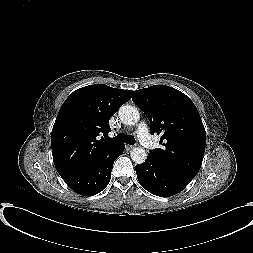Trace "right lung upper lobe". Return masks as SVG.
Masks as SVG:
<instances>
[{
  "label": "right lung upper lobe",
  "instance_id": "obj_1",
  "mask_svg": "<svg viewBox=\"0 0 253 253\" xmlns=\"http://www.w3.org/2000/svg\"><path fill=\"white\" fill-rule=\"evenodd\" d=\"M130 99V91L104 84L82 87L69 95L51 134L53 160L62 178L90 168L118 145L98 136L107 137L110 118Z\"/></svg>",
  "mask_w": 253,
  "mask_h": 253
}]
</instances>
